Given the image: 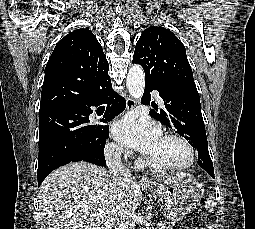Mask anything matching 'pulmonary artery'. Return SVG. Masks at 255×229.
Wrapping results in <instances>:
<instances>
[{"mask_svg":"<svg viewBox=\"0 0 255 229\" xmlns=\"http://www.w3.org/2000/svg\"><path fill=\"white\" fill-rule=\"evenodd\" d=\"M153 95H154V97L156 98L158 104H159L160 106H164L163 99L159 96L158 92H157V91H153Z\"/></svg>","mask_w":255,"mask_h":229,"instance_id":"1","label":"pulmonary artery"}]
</instances>
